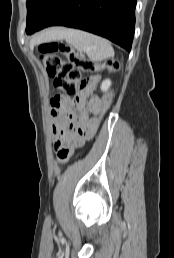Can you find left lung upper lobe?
Segmentation results:
<instances>
[{
  "label": "left lung upper lobe",
  "instance_id": "left-lung-upper-lobe-1",
  "mask_svg": "<svg viewBox=\"0 0 174 258\" xmlns=\"http://www.w3.org/2000/svg\"><path fill=\"white\" fill-rule=\"evenodd\" d=\"M58 1L59 0H27V34H32L36 31Z\"/></svg>",
  "mask_w": 174,
  "mask_h": 258
}]
</instances>
